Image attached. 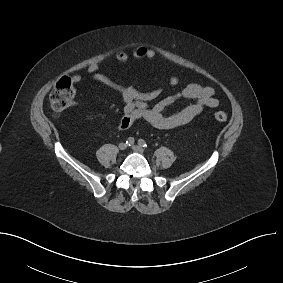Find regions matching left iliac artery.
I'll return each mask as SVG.
<instances>
[{"mask_svg": "<svg viewBox=\"0 0 283 283\" xmlns=\"http://www.w3.org/2000/svg\"><path fill=\"white\" fill-rule=\"evenodd\" d=\"M138 144L141 147H145V148L147 147V143L143 139H139L138 140Z\"/></svg>", "mask_w": 283, "mask_h": 283, "instance_id": "left-iliac-artery-1", "label": "left iliac artery"}]
</instances>
